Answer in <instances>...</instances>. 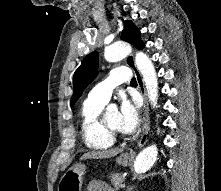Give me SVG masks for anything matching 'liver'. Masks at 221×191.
<instances>
[{
    "instance_id": "1",
    "label": "liver",
    "mask_w": 221,
    "mask_h": 191,
    "mask_svg": "<svg viewBox=\"0 0 221 191\" xmlns=\"http://www.w3.org/2000/svg\"><path fill=\"white\" fill-rule=\"evenodd\" d=\"M121 149H112V150H104V151H92L85 153L81 160L86 159H104V158H111L116 156L117 154L121 153Z\"/></svg>"
}]
</instances>
